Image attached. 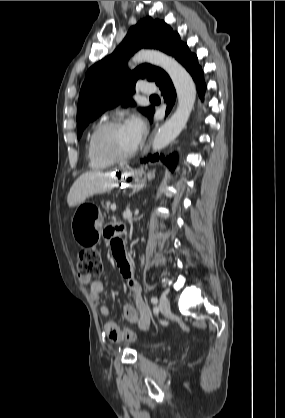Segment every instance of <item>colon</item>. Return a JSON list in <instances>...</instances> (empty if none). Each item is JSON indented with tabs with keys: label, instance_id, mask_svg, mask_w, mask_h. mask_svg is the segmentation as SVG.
<instances>
[{
	"label": "colon",
	"instance_id": "colon-1",
	"mask_svg": "<svg viewBox=\"0 0 285 418\" xmlns=\"http://www.w3.org/2000/svg\"><path fill=\"white\" fill-rule=\"evenodd\" d=\"M112 254L117 262H123L126 258L125 245L121 239L112 250ZM102 263L98 253L95 250H83L79 254L77 262V274L81 277H92L100 274ZM110 333H119L130 340H136V335L125 327L115 328L112 324L107 326Z\"/></svg>",
	"mask_w": 285,
	"mask_h": 418
}]
</instances>
